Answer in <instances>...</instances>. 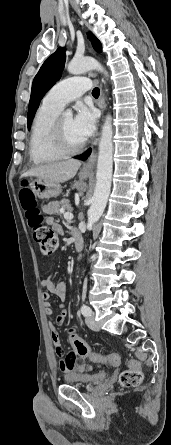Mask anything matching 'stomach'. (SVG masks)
Segmentation results:
<instances>
[{
  "mask_svg": "<svg viewBox=\"0 0 171 445\" xmlns=\"http://www.w3.org/2000/svg\"><path fill=\"white\" fill-rule=\"evenodd\" d=\"M82 177V179H84ZM28 187L35 193L40 199L54 198L60 195L62 187L58 182H52L41 178L31 179L28 182Z\"/></svg>",
  "mask_w": 171,
  "mask_h": 445,
  "instance_id": "stomach-1",
  "label": "stomach"
}]
</instances>
